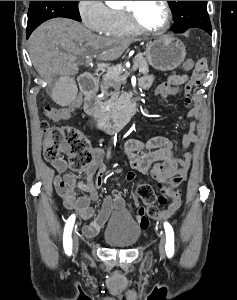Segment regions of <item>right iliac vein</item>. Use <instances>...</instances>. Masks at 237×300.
Returning <instances> with one entry per match:
<instances>
[{
  "label": "right iliac vein",
  "mask_w": 237,
  "mask_h": 300,
  "mask_svg": "<svg viewBox=\"0 0 237 300\" xmlns=\"http://www.w3.org/2000/svg\"><path fill=\"white\" fill-rule=\"evenodd\" d=\"M78 246H79V239H78L77 234H75L74 235V247H75V250L78 249Z\"/></svg>",
  "instance_id": "obj_1"
}]
</instances>
